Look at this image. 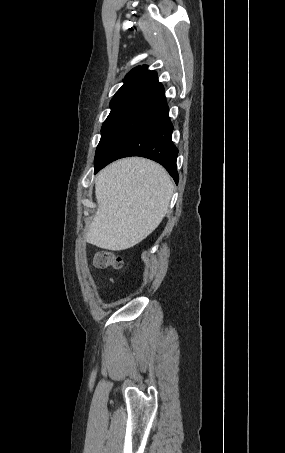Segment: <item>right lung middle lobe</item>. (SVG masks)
<instances>
[{
  "label": "right lung middle lobe",
  "instance_id": "obj_1",
  "mask_svg": "<svg viewBox=\"0 0 285 453\" xmlns=\"http://www.w3.org/2000/svg\"><path fill=\"white\" fill-rule=\"evenodd\" d=\"M124 101L125 100H122V99L111 100V102H110L111 112H110L109 116L107 117V119L105 120V122H104V124H103V126L101 128L102 136L107 131L111 121L113 120V117L115 116L116 112L121 107V105L123 104ZM102 136H101V138H102Z\"/></svg>",
  "mask_w": 285,
  "mask_h": 453
}]
</instances>
